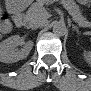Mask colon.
Here are the masks:
<instances>
[{"label":"colon","instance_id":"1","mask_svg":"<svg viewBox=\"0 0 91 91\" xmlns=\"http://www.w3.org/2000/svg\"><path fill=\"white\" fill-rule=\"evenodd\" d=\"M0 29H1V31L4 32V33L7 32L8 29H9L8 23H7L6 21H3V22L1 23Z\"/></svg>","mask_w":91,"mask_h":91}]
</instances>
